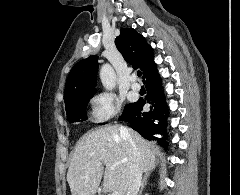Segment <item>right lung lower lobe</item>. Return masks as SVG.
<instances>
[{"mask_svg":"<svg viewBox=\"0 0 240 195\" xmlns=\"http://www.w3.org/2000/svg\"><path fill=\"white\" fill-rule=\"evenodd\" d=\"M148 91L145 99L138 100L135 105L119 120H126L130 126L148 140H158L164 145L165 138L168 137L165 127L169 114L168 106L166 105V97L162 91L161 78L158 73L152 77L146 84ZM145 104H150L148 112H142ZM155 134H162L165 138H156Z\"/></svg>","mask_w":240,"mask_h":195,"instance_id":"right-lung-lower-lobe-1","label":"right lung lower lobe"}]
</instances>
